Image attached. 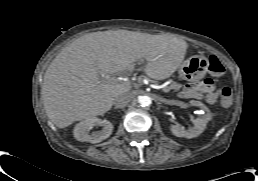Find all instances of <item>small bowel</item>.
<instances>
[{"mask_svg":"<svg viewBox=\"0 0 258 181\" xmlns=\"http://www.w3.org/2000/svg\"><path fill=\"white\" fill-rule=\"evenodd\" d=\"M180 95L184 98L204 99L207 103L214 104L217 101L219 91L215 89L211 79H205L186 85Z\"/></svg>","mask_w":258,"mask_h":181,"instance_id":"obj_1","label":"small bowel"}]
</instances>
